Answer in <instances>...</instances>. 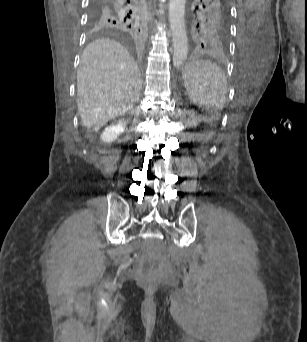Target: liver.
<instances>
[{"mask_svg": "<svg viewBox=\"0 0 307 342\" xmlns=\"http://www.w3.org/2000/svg\"><path fill=\"white\" fill-rule=\"evenodd\" d=\"M79 116L91 132L133 108L142 90L140 70L128 50L115 40L88 44L77 72Z\"/></svg>", "mask_w": 307, "mask_h": 342, "instance_id": "6515ba94", "label": "liver"}]
</instances>
